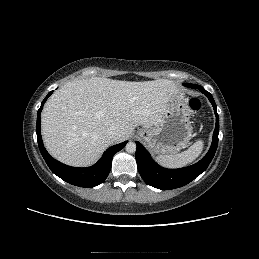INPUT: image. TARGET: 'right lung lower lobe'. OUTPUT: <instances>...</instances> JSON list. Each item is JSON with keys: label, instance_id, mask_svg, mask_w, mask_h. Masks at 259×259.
<instances>
[{"label": "right lung lower lobe", "instance_id": "right-lung-lower-lobe-1", "mask_svg": "<svg viewBox=\"0 0 259 259\" xmlns=\"http://www.w3.org/2000/svg\"><path fill=\"white\" fill-rule=\"evenodd\" d=\"M52 93L53 91L49 92L46 98L42 101L41 107L38 110V114H37L36 133H37V140H38V146H39L40 152L44 160L46 161L47 165L49 166L50 170L55 175L60 177L62 180L80 187H86V188L95 187L101 184L107 178L111 169V163H112V158L114 154L120 151L127 144V141L109 147L104 152L101 159L96 164L88 168L70 167L55 160L46 151L43 145L41 132H40V114L45 101Z\"/></svg>", "mask_w": 259, "mask_h": 259}]
</instances>
